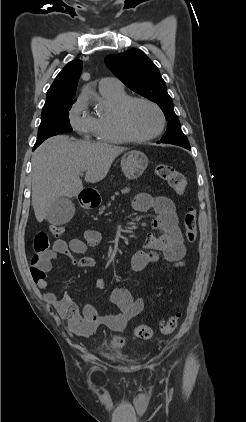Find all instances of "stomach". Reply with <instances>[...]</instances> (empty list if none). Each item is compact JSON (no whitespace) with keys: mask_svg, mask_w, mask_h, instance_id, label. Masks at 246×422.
Listing matches in <instances>:
<instances>
[{"mask_svg":"<svg viewBox=\"0 0 246 422\" xmlns=\"http://www.w3.org/2000/svg\"><path fill=\"white\" fill-rule=\"evenodd\" d=\"M148 165L147 156L141 151L132 150L121 159V168L125 177L134 180L140 177Z\"/></svg>","mask_w":246,"mask_h":422,"instance_id":"stomach-1","label":"stomach"}]
</instances>
